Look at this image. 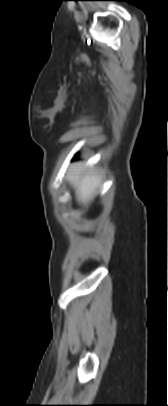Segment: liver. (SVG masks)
<instances>
[{
  "mask_svg": "<svg viewBox=\"0 0 168 406\" xmlns=\"http://www.w3.org/2000/svg\"><path fill=\"white\" fill-rule=\"evenodd\" d=\"M67 179L74 186L75 196L80 204L86 205L100 186V178L93 170H88L84 164L73 165L69 168Z\"/></svg>",
  "mask_w": 168,
  "mask_h": 406,
  "instance_id": "6515ba94",
  "label": "liver"
}]
</instances>
